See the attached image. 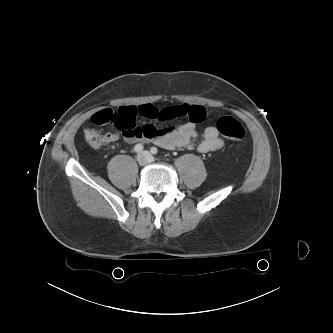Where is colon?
Wrapping results in <instances>:
<instances>
[{"mask_svg": "<svg viewBox=\"0 0 333 333\" xmlns=\"http://www.w3.org/2000/svg\"><path fill=\"white\" fill-rule=\"evenodd\" d=\"M137 112L133 107L121 108L118 112L111 109H104L92 116L96 125H112L120 131L133 130L136 127L135 118ZM217 130L224 137L233 141H242L246 132L242 124L230 116H223L217 120ZM86 142L94 149L108 144L107 134L101 131L88 128L84 133Z\"/></svg>", "mask_w": 333, "mask_h": 333, "instance_id": "5ec220e1", "label": "colon"}]
</instances>
